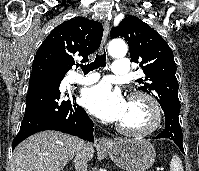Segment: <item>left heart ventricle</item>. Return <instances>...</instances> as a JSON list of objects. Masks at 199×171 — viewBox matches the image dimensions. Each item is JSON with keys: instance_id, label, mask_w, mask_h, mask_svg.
Wrapping results in <instances>:
<instances>
[{"instance_id": "1", "label": "left heart ventricle", "mask_w": 199, "mask_h": 171, "mask_svg": "<svg viewBox=\"0 0 199 171\" xmlns=\"http://www.w3.org/2000/svg\"><path fill=\"white\" fill-rule=\"evenodd\" d=\"M150 114L147 106L139 100L127 102L126 111L119 123L129 128H140L148 124Z\"/></svg>"}]
</instances>
